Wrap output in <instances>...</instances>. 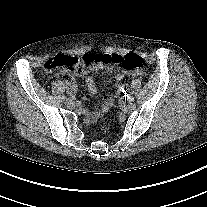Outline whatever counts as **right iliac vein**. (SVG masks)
I'll list each match as a JSON object with an SVG mask.
<instances>
[{
	"mask_svg": "<svg viewBox=\"0 0 207 207\" xmlns=\"http://www.w3.org/2000/svg\"><path fill=\"white\" fill-rule=\"evenodd\" d=\"M65 101L68 105H71L73 103V98H68Z\"/></svg>",
	"mask_w": 207,
	"mask_h": 207,
	"instance_id": "63e3f726",
	"label": "right iliac vein"
}]
</instances>
